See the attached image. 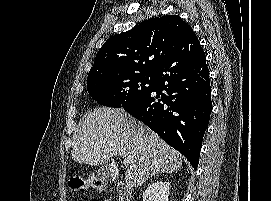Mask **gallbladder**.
I'll return each mask as SVG.
<instances>
[{"mask_svg": "<svg viewBox=\"0 0 271 201\" xmlns=\"http://www.w3.org/2000/svg\"><path fill=\"white\" fill-rule=\"evenodd\" d=\"M97 174L101 180L109 182L116 178L117 169L111 163V161H107L103 166L98 169Z\"/></svg>", "mask_w": 271, "mask_h": 201, "instance_id": "bac80fb5", "label": "gallbladder"}]
</instances>
